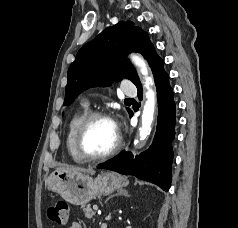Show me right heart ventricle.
Instances as JSON below:
<instances>
[{"label":"right heart ventricle","instance_id":"right-heart-ventricle-1","mask_svg":"<svg viewBox=\"0 0 238 228\" xmlns=\"http://www.w3.org/2000/svg\"><path fill=\"white\" fill-rule=\"evenodd\" d=\"M89 110L86 105H82L79 110H77L73 116L70 118L68 127H67V133H66V149L72 158V160L76 163H84L85 160L82 159L76 149H75V137L77 129L81 123V121L84 119V117L88 114Z\"/></svg>","mask_w":238,"mask_h":228}]
</instances>
